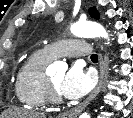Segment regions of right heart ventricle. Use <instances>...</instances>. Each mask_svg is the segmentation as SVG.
I'll return each mask as SVG.
<instances>
[{"label": "right heart ventricle", "instance_id": "e07e8e85", "mask_svg": "<svg viewBox=\"0 0 133 118\" xmlns=\"http://www.w3.org/2000/svg\"><path fill=\"white\" fill-rule=\"evenodd\" d=\"M52 58L38 50L21 66L15 81V95L28 109H39L47 103L45 66Z\"/></svg>", "mask_w": 133, "mask_h": 118}]
</instances>
